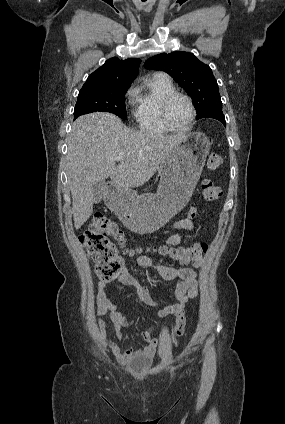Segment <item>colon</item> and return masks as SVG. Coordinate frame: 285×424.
Listing matches in <instances>:
<instances>
[{
  "instance_id": "obj_1",
  "label": "colon",
  "mask_w": 285,
  "mask_h": 424,
  "mask_svg": "<svg viewBox=\"0 0 285 424\" xmlns=\"http://www.w3.org/2000/svg\"><path fill=\"white\" fill-rule=\"evenodd\" d=\"M222 164L223 158L219 154L210 153L208 155L206 161L208 171H216ZM201 190L203 198L207 201H216L222 196L220 187L210 179L203 180ZM79 241L89 256L93 258L100 278L110 280L122 272L124 262L114 242L123 246L126 238L120 227L110 218L102 214L95 216L91 225L80 235ZM208 248L206 243H196L178 248L160 247L158 251L177 263L200 265ZM129 253L133 254L134 251H129ZM182 321L183 319L180 317L179 324Z\"/></svg>"
}]
</instances>
